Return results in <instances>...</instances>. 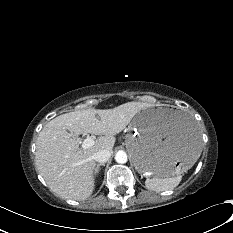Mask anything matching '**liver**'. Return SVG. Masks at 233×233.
I'll return each mask as SVG.
<instances>
[{
    "label": "liver",
    "mask_w": 233,
    "mask_h": 233,
    "mask_svg": "<svg viewBox=\"0 0 233 233\" xmlns=\"http://www.w3.org/2000/svg\"><path fill=\"white\" fill-rule=\"evenodd\" d=\"M151 106L128 102L106 110L89 108L60 115L48 122L36 142L35 165L49 189L63 199L88 198L95 186L93 154L103 149L112 152L114 136L124 130L139 111ZM67 130L75 136L71 137ZM87 133L100 137L92 147L80 149L76 136Z\"/></svg>",
    "instance_id": "1"
}]
</instances>
